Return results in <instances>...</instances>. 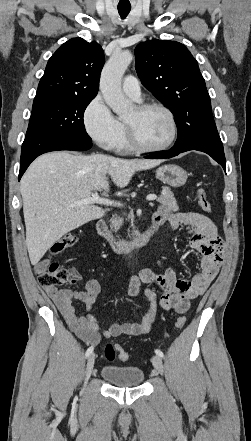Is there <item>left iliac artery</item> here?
I'll return each mask as SVG.
<instances>
[{"instance_id":"obj_1","label":"left iliac artery","mask_w":251,"mask_h":441,"mask_svg":"<svg viewBox=\"0 0 251 441\" xmlns=\"http://www.w3.org/2000/svg\"><path fill=\"white\" fill-rule=\"evenodd\" d=\"M155 353H156V355H158V356L161 357V358L164 357L163 352H162L161 350H159V349H156V350H155Z\"/></svg>"}]
</instances>
